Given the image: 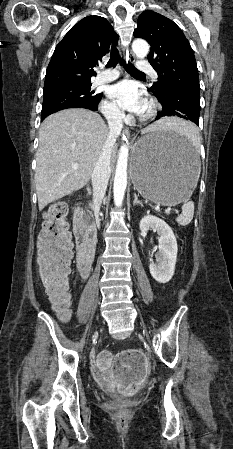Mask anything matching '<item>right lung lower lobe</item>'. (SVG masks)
<instances>
[{
	"label": "right lung lower lobe",
	"mask_w": 233,
	"mask_h": 449,
	"mask_svg": "<svg viewBox=\"0 0 233 449\" xmlns=\"http://www.w3.org/2000/svg\"><path fill=\"white\" fill-rule=\"evenodd\" d=\"M73 108H79V107H73ZM81 108H85V107H81ZM88 109L93 110V111H97L98 110V105L95 108H88ZM47 116L48 115H43L41 117V121H43Z\"/></svg>",
	"instance_id": "obj_1"
}]
</instances>
